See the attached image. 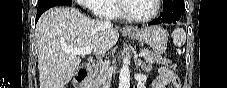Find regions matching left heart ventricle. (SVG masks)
I'll return each instance as SVG.
<instances>
[{
    "instance_id": "b2bd125f",
    "label": "left heart ventricle",
    "mask_w": 227,
    "mask_h": 88,
    "mask_svg": "<svg viewBox=\"0 0 227 88\" xmlns=\"http://www.w3.org/2000/svg\"><path fill=\"white\" fill-rule=\"evenodd\" d=\"M128 14L135 17L150 16L154 10V0H132L125 3Z\"/></svg>"
}]
</instances>
